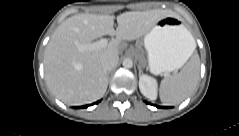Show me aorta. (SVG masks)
Here are the masks:
<instances>
[{"instance_id": "1", "label": "aorta", "mask_w": 239, "mask_h": 136, "mask_svg": "<svg viewBox=\"0 0 239 136\" xmlns=\"http://www.w3.org/2000/svg\"><path fill=\"white\" fill-rule=\"evenodd\" d=\"M123 67L125 68H132L133 61L130 58H125L122 62Z\"/></svg>"}]
</instances>
